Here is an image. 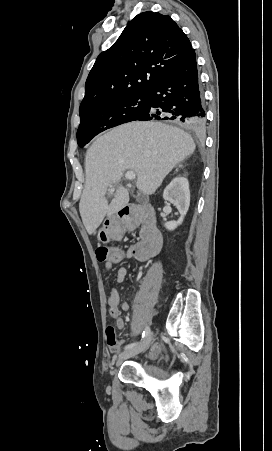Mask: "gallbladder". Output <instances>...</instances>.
<instances>
[{
  "instance_id": "1",
  "label": "gallbladder",
  "mask_w": 272,
  "mask_h": 451,
  "mask_svg": "<svg viewBox=\"0 0 272 451\" xmlns=\"http://www.w3.org/2000/svg\"><path fill=\"white\" fill-rule=\"evenodd\" d=\"M138 202H140V198H138Z\"/></svg>"
}]
</instances>
